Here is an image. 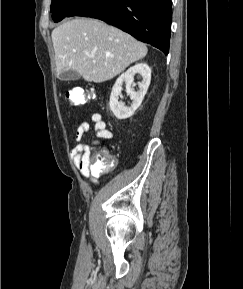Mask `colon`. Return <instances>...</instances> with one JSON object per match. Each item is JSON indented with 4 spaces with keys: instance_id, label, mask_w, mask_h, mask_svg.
<instances>
[{
    "instance_id": "1",
    "label": "colon",
    "mask_w": 243,
    "mask_h": 289,
    "mask_svg": "<svg viewBox=\"0 0 243 289\" xmlns=\"http://www.w3.org/2000/svg\"><path fill=\"white\" fill-rule=\"evenodd\" d=\"M95 97L93 91L82 88H73L66 92V98L71 106H80L86 104ZM115 165V159L105 150L94 153L90 160V166L95 174L106 173L112 170Z\"/></svg>"
}]
</instances>
